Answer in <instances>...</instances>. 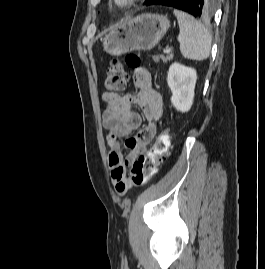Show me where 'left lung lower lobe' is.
Here are the masks:
<instances>
[{"label":"left lung lower lobe","mask_w":265,"mask_h":269,"mask_svg":"<svg viewBox=\"0 0 265 269\" xmlns=\"http://www.w3.org/2000/svg\"><path fill=\"white\" fill-rule=\"evenodd\" d=\"M215 0H148L145 5H165L192 14L197 18L208 19L214 13Z\"/></svg>","instance_id":"0a47b994"}]
</instances>
